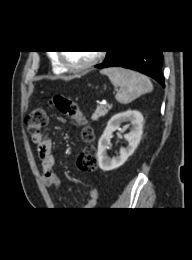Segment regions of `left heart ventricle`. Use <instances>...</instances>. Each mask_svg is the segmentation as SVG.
Wrapping results in <instances>:
<instances>
[{
  "label": "left heart ventricle",
  "instance_id": "left-heart-ventricle-1",
  "mask_svg": "<svg viewBox=\"0 0 192 260\" xmlns=\"http://www.w3.org/2000/svg\"><path fill=\"white\" fill-rule=\"evenodd\" d=\"M95 55L96 53L92 51H67L64 53L66 61L73 66L83 65L93 59Z\"/></svg>",
  "mask_w": 192,
  "mask_h": 260
}]
</instances>
